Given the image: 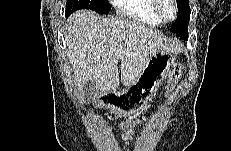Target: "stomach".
<instances>
[{"label": "stomach", "mask_w": 231, "mask_h": 151, "mask_svg": "<svg viewBox=\"0 0 231 151\" xmlns=\"http://www.w3.org/2000/svg\"><path fill=\"white\" fill-rule=\"evenodd\" d=\"M174 64L175 57L170 52L153 54L130 86L119 92L113 91L108 96L109 105L123 114H135L156 94Z\"/></svg>", "instance_id": "1"}]
</instances>
